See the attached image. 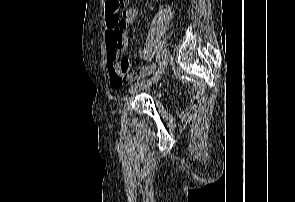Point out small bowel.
<instances>
[{"mask_svg": "<svg viewBox=\"0 0 295 202\" xmlns=\"http://www.w3.org/2000/svg\"><path fill=\"white\" fill-rule=\"evenodd\" d=\"M138 16L136 8H127L124 10L120 23L117 27H109L108 20L112 19V15L106 14V48L107 62L110 74V83L113 88L120 87L123 82H133L138 78L144 77L152 69L153 66H141L136 72H133L132 63L129 59H121L128 45V38L125 32L126 26L132 24ZM138 54L147 59L149 57L148 49L138 50ZM117 61V68L115 62ZM117 75L119 77H113Z\"/></svg>", "mask_w": 295, "mask_h": 202, "instance_id": "obj_1", "label": "small bowel"}]
</instances>
